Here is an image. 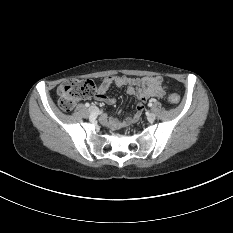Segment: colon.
<instances>
[{
	"label": "colon",
	"instance_id": "colon-1",
	"mask_svg": "<svg viewBox=\"0 0 233 233\" xmlns=\"http://www.w3.org/2000/svg\"><path fill=\"white\" fill-rule=\"evenodd\" d=\"M95 90V83L90 79L67 81L57 89L59 106L64 111H71L77 101L91 97ZM168 101L173 105L178 104L180 96L177 93H171Z\"/></svg>",
	"mask_w": 233,
	"mask_h": 233
}]
</instances>
